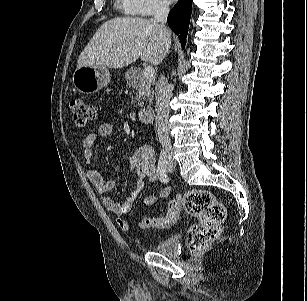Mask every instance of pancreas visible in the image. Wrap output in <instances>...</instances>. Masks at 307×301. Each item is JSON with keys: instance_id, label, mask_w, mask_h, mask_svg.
<instances>
[{"instance_id": "pancreas-1", "label": "pancreas", "mask_w": 307, "mask_h": 301, "mask_svg": "<svg viewBox=\"0 0 307 301\" xmlns=\"http://www.w3.org/2000/svg\"><path fill=\"white\" fill-rule=\"evenodd\" d=\"M154 77H144L142 70L138 67H131L125 74V83L129 88L136 90L135 98L132 97V103L138 102L139 107H143L144 102L152 104ZM135 99V100H134Z\"/></svg>"}]
</instances>
